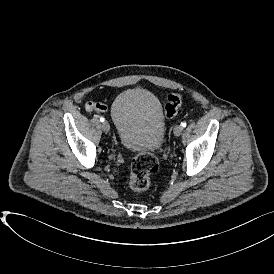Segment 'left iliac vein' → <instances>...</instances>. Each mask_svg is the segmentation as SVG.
I'll return each mask as SVG.
<instances>
[{
  "label": "left iliac vein",
  "instance_id": "left-iliac-vein-1",
  "mask_svg": "<svg viewBox=\"0 0 274 274\" xmlns=\"http://www.w3.org/2000/svg\"><path fill=\"white\" fill-rule=\"evenodd\" d=\"M182 131L183 127L181 125L175 126L173 130L175 136H180L182 134Z\"/></svg>",
  "mask_w": 274,
  "mask_h": 274
}]
</instances>
